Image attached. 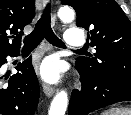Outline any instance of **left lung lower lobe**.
Instances as JSON below:
<instances>
[{"instance_id":"left-lung-lower-lobe-1","label":"left lung lower lobe","mask_w":131,"mask_h":115,"mask_svg":"<svg viewBox=\"0 0 131 115\" xmlns=\"http://www.w3.org/2000/svg\"><path fill=\"white\" fill-rule=\"evenodd\" d=\"M81 75L82 87L73 90L68 115H88L105 106L131 101V82L118 79H103L92 76L76 66Z\"/></svg>"}]
</instances>
